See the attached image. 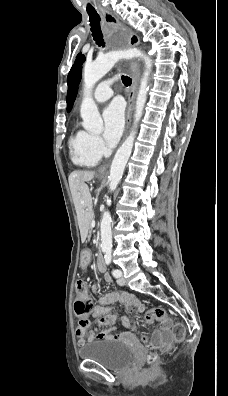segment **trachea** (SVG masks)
Instances as JSON below:
<instances>
[{"label":"trachea","mask_w":228,"mask_h":396,"mask_svg":"<svg viewBox=\"0 0 228 396\" xmlns=\"http://www.w3.org/2000/svg\"><path fill=\"white\" fill-rule=\"evenodd\" d=\"M88 15H89V22H90V30L92 32V36L93 39L95 40L96 44L99 47H104L105 46V42L103 39V34L100 28V16L98 15V13L93 10V11H87ZM122 82L125 86H129L131 85L132 79L128 76H122Z\"/></svg>","instance_id":"obj_1"}]
</instances>
